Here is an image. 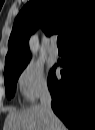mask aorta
<instances>
[{
    "label": "aorta",
    "instance_id": "1",
    "mask_svg": "<svg viewBox=\"0 0 95 130\" xmlns=\"http://www.w3.org/2000/svg\"><path fill=\"white\" fill-rule=\"evenodd\" d=\"M36 38L33 37L31 38V41H30V49H31V52L32 53H35L36 52Z\"/></svg>",
    "mask_w": 95,
    "mask_h": 130
}]
</instances>
